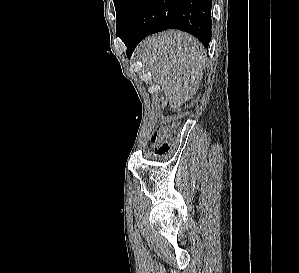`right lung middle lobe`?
I'll return each mask as SVG.
<instances>
[{"label":"right lung middle lobe","mask_w":299,"mask_h":273,"mask_svg":"<svg viewBox=\"0 0 299 273\" xmlns=\"http://www.w3.org/2000/svg\"><path fill=\"white\" fill-rule=\"evenodd\" d=\"M116 10V34L118 35L134 0H113Z\"/></svg>","instance_id":"right-lung-middle-lobe-1"}]
</instances>
